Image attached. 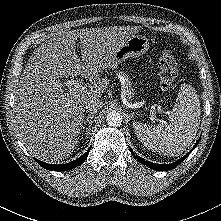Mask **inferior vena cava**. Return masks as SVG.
Masks as SVG:
<instances>
[{
	"label": "inferior vena cava",
	"mask_w": 221,
	"mask_h": 221,
	"mask_svg": "<svg viewBox=\"0 0 221 221\" xmlns=\"http://www.w3.org/2000/svg\"><path fill=\"white\" fill-rule=\"evenodd\" d=\"M103 107V101L95 98V99H90L88 101H86L85 103V108L87 109V111L89 112H95L99 109H101Z\"/></svg>",
	"instance_id": "602c4592"
}]
</instances>
